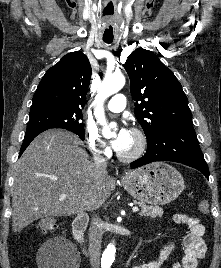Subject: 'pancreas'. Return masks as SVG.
<instances>
[{
    "instance_id": "obj_1",
    "label": "pancreas",
    "mask_w": 221,
    "mask_h": 268,
    "mask_svg": "<svg viewBox=\"0 0 221 268\" xmlns=\"http://www.w3.org/2000/svg\"><path fill=\"white\" fill-rule=\"evenodd\" d=\"M139 207H141V216H147L151 218L161 217L163 215V209L158 206H148L145 203L142 202H134Z\"/></svg>"
}]
</instances>
